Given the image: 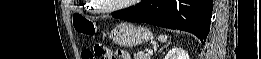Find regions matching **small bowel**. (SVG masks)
<instances>
[{"mask_svg": "<svg viewBox=\"0 0 261 59\" xmlns=\"http://www.w3.org/2000/svg\"><path fill=\"white\" fill-rule=\"evenodd\" d=\"M118 52L120 53V55L118 56V58H121V59H129V56H128V54H127L125 51L119 50Z\"/></svg>", "mask_w": 261, "mask_h": 59, "instance_id": "small-bowel-1", "label": "small bowel"}]
</instances>
